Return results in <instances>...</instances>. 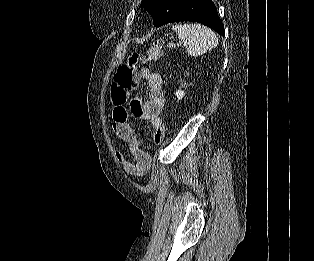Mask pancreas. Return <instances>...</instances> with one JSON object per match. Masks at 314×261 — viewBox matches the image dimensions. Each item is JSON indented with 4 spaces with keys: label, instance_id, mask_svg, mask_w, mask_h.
Segmentation results:
<instances>
[{
    "label": "pancreas",
    "instance_id": "cf45deb5",
    "mask_svg": "<svg viewBox=\"0 0 314 261\" xmlns=\"http://www.w3.org/2000/svg\"><path fill=\"white\" fill-rule=\"evenodd\" d=\"M169 48H175V45L173 44V43H168V45H167Z\"/></svg>",
    "mask_w": 314,
    "mask_h": 261
}]
</instances>
